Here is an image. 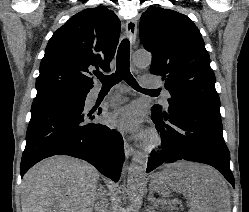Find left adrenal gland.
<instances>
[{
    "label": "left adrenal gland",
    "mask_w": 249,
    "mask_h": 212,
    "mask_svg": "<svg viewBox=\"0 0 249 212\" xmlns=\"http://www.w3.org/2000/svg\"><path fill=\"white\" fill-rule=\"evenodd\" d=\"M148 202H150V206H149V208H158V206H154V204H153V200H152V194H151V192H149Z\"/></svg>",
    "instance_id": "left-adrenal-gland-1"
}]
</instances>
